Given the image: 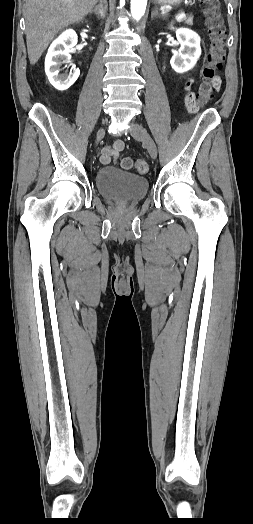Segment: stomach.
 <instances>
[{
    "mask_svg": "<svg viewBox=\"0 0 253 524\" xmlns=\"http://www.w3.org/2000/svg\"><path fill=\"white\" fill-rule=\"evenodd\" d=\"M183 0H155V2L159 5H178L182 2Z\"/></svg>",
    "mask_w": 253,
    "mask_h": 524,
    "instance_id": "1",
    "label": "stomach"
}]
</instances>
